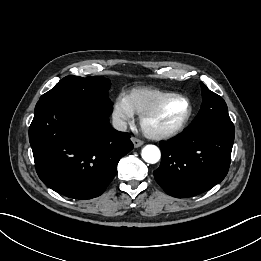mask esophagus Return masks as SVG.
Here are the masks:
<instances>
[{
    "label": "esophagus",
    "instance_id": "obj_1",
    "mask_svg": "<svg viewBox=\"0 0 261 261\" xmlns=\"http://www.w3.org/2000/svg\"><path fill=\"white\" fill-rule=\"evenodd\" d=\"M131 141L133 142L134 147H136V148L143 145V141L136 137H131Z\"/></svg>",
    "mask_w": 261,
    "mask_h": 261
}]
</instances>
